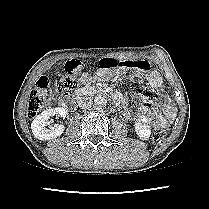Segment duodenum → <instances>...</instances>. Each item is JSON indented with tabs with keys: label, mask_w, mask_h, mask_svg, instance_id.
I'll list each match as a JSON object with an SVG mask.
<instances>
[{
	"label": "duodenum",
	"mask_w": 209,
	"mask_h": 209,
	"mask_svg": "<svg viewBox=\"0 0 209 209\" xmlns=\"http://www.w3.org/2000/svg\"><path fill=\"white\" fill-rule=\"evenodd\" d=\"M86 90H78L72 95H64L60 100V105L64 108H73L78 101L86 95ZM95 93L98 95L110 96L115 102L120 103L122 101L121 96L118 93L106 90V89H98L95 90Z\"/></svg>",
	"instance_id": "duodenum-1"
}]
</instances>
